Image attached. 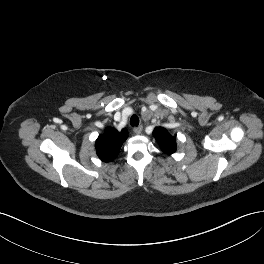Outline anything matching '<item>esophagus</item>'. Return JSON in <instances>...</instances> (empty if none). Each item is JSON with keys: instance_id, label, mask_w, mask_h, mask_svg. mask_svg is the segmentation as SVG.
Masks as SVG:
<instances>
[{"instance_id": "obj_1", "label": "esophagus", "mask_w": 264, "mask_h": 264, "mask_svg": "<svg viewBox=\"0 0 264 264\" xmlns=\"http://www.w3.org/2000/svg\"><path fill=\"white\" fill-rule=\"evenodd\" d=\"M142 130H143V127L142 126L134 127V129H133V131L136 134H141Z\"/></svg>"}]
</instances>
